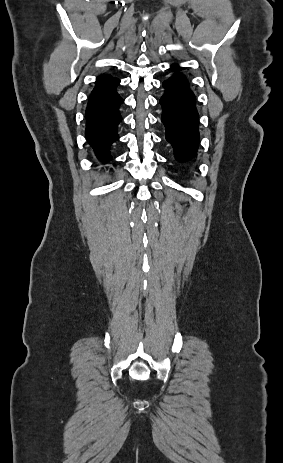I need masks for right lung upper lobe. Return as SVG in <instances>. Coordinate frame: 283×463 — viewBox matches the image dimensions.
<instances>
[{"label": "right lung upper lobe", "mask_w": 283, "mask_h": 463, "mask_svg": "<svg viewBox=\"0 0 283 463\" xmlns=\"http://www.w3.org/2000/svg\"><path fill=\"white\" fill-rule=\"evenodd\" d=\"M110 77H111V76H109V75L98 76L97 79H96V82L105 80V79L110 78Z\"/></svg>", "instance_id": "cb5924a9"}]
</instances>
